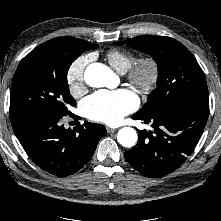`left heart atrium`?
Masks as SVG:
<instances>
[{"label":"left heart atrium","mask_w":221,"mask_h":221,"mask_svg":"<svg viewBox=\"0 0 221 221\" xmlns=\"http://www.w3.org/2000/svg\"><path fill=\"white\" fill-rule=\"evenodd\" d=\"M138 104V97L129 89L100 90L84 100L83 110L91 120L116 124L134 111Z\"/></svg>","instance_id":"39dd6f15"}]
</instances>
